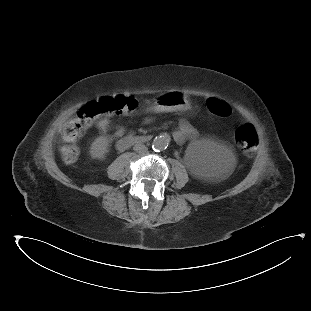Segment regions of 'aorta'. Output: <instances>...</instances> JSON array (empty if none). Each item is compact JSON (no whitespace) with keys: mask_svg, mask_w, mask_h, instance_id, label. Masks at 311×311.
<instances>
[{"mask_svg":"<svg viewBox=\"0 0 311 311\" xmlns=\"http://www.w3.org/2000/svg\"><path fill=\"white\" fill-rule=\"evenodd\" d=\"M165 142L161 139H155L152 145L154 151H162L164 150Z\"/></svg>","mask_w":311,"mask_h":311,"instance_id":"aorta-1","label":"aorta"}]
</instances>
